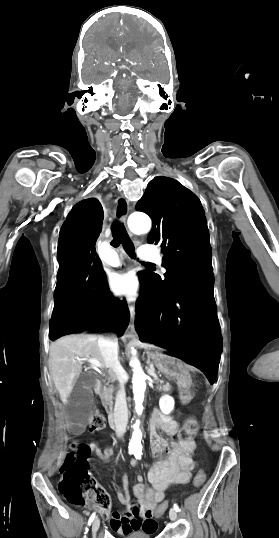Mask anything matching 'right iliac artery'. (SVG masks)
<instances>
[{
  "mask_svg": "<svg viewBox=\"0 0 279 538\" xmlns=\"http://www.w3.org/2000/svg\"><path fill=\"white\" fill-rule=\"evenodd\" d=\"M129 453H130V454H134L135 452L132 451V450H130ZM94 518H95V512L90 516L89 521H88V525H90V524L92 523V521L94 520ZM87 531H88V528H86V532H87ZM84 538H86V537H84Z\"/></svg>",
  "mask_w": 279,
  "mask_h": 538,
  "instance_id": "1",
  "label": "right iliac artery"
}]
</instances>
